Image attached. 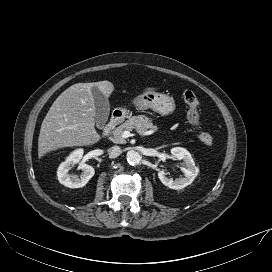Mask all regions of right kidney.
Returning <instances> with one entry per match:
<instances>
[{"label":"right kidney","instance_id":"right-kidney-1","mask_svg":"<svg viewBox=\"0 0 272 272\" xmlns=\"http://www.w3.org/2000/svg\"><path fill=\"white\" fill-rule=\"evenodd\" d=\"M83 149L73 151L64 162L60 164L57 170L59 182L65 187L80 188L85 186L94 176L95 170L92 166L80 161L83 156ZM78 164V168L82 170L80 176L71 175L69 170L72 165Z\"/></svg>","mask_w":272,"mask_h":272}]
</instances>
